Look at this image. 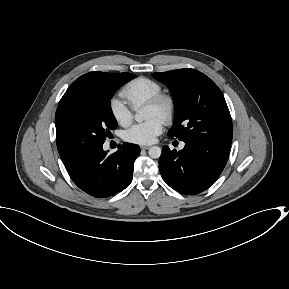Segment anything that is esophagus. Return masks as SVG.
<instances>
[{"label":"esophagus","instance_id":"obj_1","mask_svg":"<svg viewBox=\"0 0 289 289\" xmlns=\"http://www.w3.org/2000/svg\"><path fill=\"white\" fill-rule=\"evenodd\" d=\"M140 148H141L142 150H147V149L150 148V146H141Z\"/></svg>","mask_w":289,"mask_h":289}]
</instances>
